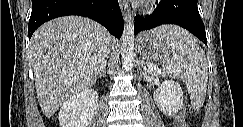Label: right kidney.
I'll return each instance as SVG.
<instances>
[{
  "instance_id": "obj_1",
  "label": "right kidney",
  "mask_w": 243,
  "mask_h": 127,
  "mask_svg": "<svg viewBox=\"0 0 243 127\" xmlns=\"http://www.w3.org/2000/svg\"><path fill=\"white\" fill-rule=\"evenodd\" d=\"M98 107V93L84 90L65 101L59 112L61 127H87Z\"/></svg>"
}]
</instances>
